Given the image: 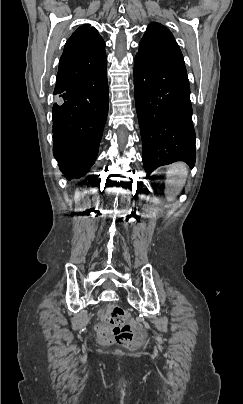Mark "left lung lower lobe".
Listing matches in <instances>:
<instances>
[{
	"mask_svg": "<svg viewBox=\"0 0 243 404\" xmlns=\"http://www.w3.org/2000/svg\"><path fill=\"white\" fill-rule=\"evenodd\" d=\"M134 90L147 176L175 161L193 168L196 136L187 73L136 56Z\"/></svg>",
	"mask_w": 243,
	"mask_h": 404,
	"instance_id": "obj_1",
	"label": "left lung lower lobe"
}]
</instances>
